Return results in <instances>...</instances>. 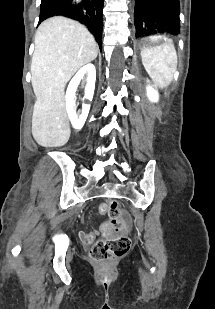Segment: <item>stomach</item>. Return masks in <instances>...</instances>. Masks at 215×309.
Wrapping results in <instances>:
<instances>
[{"mask_svg": "<svg viewBox=\"0 0 215 309\" xmlns=\"http://www.w3.org/2000/svg\"><path fill=\"white\" fill-rule=\"evenodd\" d=\"M161 42H165V44H171L167 38L164 36H151L143 40V45L147 48H152V45L159 44Z\"/></svg>", "mask_w": 215, "mask_h": 309, "instance_id": "0dacf381", "label": "stomach"}]
</instances>
